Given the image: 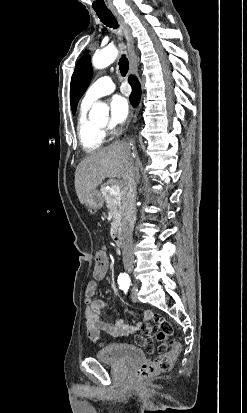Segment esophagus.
<instances>
[{
  "instance_id": "1",
  "label": "esophagus",
  "mask_w": 247,
  "mask_h": 413,
  "mask_svg": "<svg viewBox=\"0 0 247 413\" xmlns=\"http://www.w3.org/2000/svg\"><path fill=\"white\" fill-rule=\"evenodd\" d=\"M112 14L114 15V17H116V19L120 23V26H121V28L123 30V33H124V36L127 40V47H128L129 56H130V62H129L130 73L137 74L138 59H137V55H136V52H135L134 39L132 38L131 29L126 24V22L124 21V19L121 17V15L118 12L113 11Z\"/></svg>"
}]
</instances>
